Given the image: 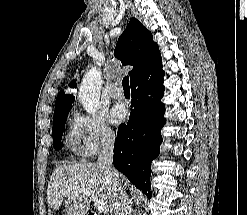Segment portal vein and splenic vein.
<instances>
[{
    "label": "portal vein and splenic vein",
    "instance_id": "portal-vein-and-splenic-vein-1",
    "mask_svg": "<svg viewBox=\"0 0 247 215\" xmlns=\"http://www.w3.org/2000/svg\"><path fill=\"white\" fill-rule=\"evenodd\" d=\"M81 193H83L84 195H86L89 198H93V196H94L93 192L89 189H84L81 191ZM78 194L79 193H75L71 196H68V200H70V201L74 200L76 198V196H78ZM94 205H95L96 209L98 210V212H100V213L105 214L109 210L108 205L101 200H95Z\"/></svg>",
    "mask_w": 247,
    "mask_h": 215
}]
</instances>
